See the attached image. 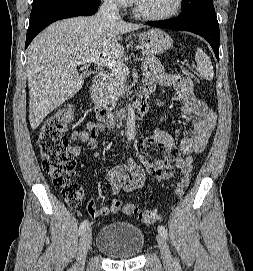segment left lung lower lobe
I'll use <instances>...</instances> for the list:
<instances>
[{
  "mask_svg": "<svg viewBox=\"0 0 253 271\" xmlns=\"http://www.w3.org/2000/svg\"><path fill=\"white\" fill-rule=\"evenodd\" d=\"M150 26L176 31H190L204 37L211 45L217 60L220 45L219 24L214 6H209L200 14L183 19L180 16L160 23H150Z\"/></svg>",
  "mask_w": 253,
  "mask_h": 271,
  "instance_id": "0a47b994",
  "label": "left lung lower lobe"
}]
</instances>
